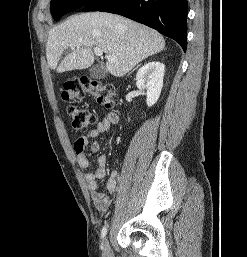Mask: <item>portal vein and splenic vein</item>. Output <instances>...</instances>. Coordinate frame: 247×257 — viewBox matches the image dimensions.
Here are the masks:
<instances>
[{
    "mask_svg": "<svg viewBox=\"0 0 247 257\" xmlns=\"http://www.w3.org/2000/svg\"><path fill=\"white\" fill-rule=\"evenodd\" d=\"M94 53L98 56H101L103 54V51L97 47L94 48ZM106 59L108 61H115L116 60V57H113V56H110V55H107L106 56Z\"/></svg>",
    "mask_w": 247,
    "mask_h": 257,
    "instance_id": "1",
    "label": "portal vein and splenic vein"
}]
</instances>
